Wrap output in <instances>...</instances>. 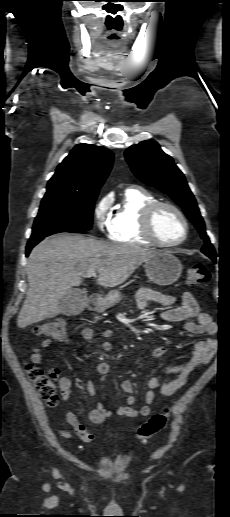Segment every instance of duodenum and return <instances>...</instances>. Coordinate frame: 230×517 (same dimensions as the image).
Segmentation results:
<instances>
[{
  "label": "duodenum",
  "mask_w": 230,
  "mask_h": 517,
  "mask_svg": "<svg viewBox=\"0 0 230 517\" xmlns=\"http://www.w3.org/2000/svg\"><path fill=\"white\" fill-rule=\"evenodd\" d=\"M102 302H103V299L100 296L92 294L89 297L90 310L93 312H99L102 308Z\"/></svg>",
  "instance_id": "duodenum-1"
}]
</instances>
